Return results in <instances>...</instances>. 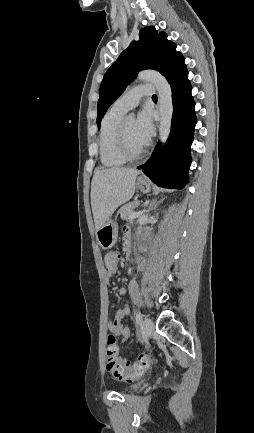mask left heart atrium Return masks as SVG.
<instances>
[{
  "label": "left heart atrium",
  "instance_id": "39dd6f15",
  "mask_svg": "<svg viewBox=\"0 0 254 433\" xmlns=\"http://www.w3.org/2000/svg\"><path fill=\"white\" fill-rule=\"evenodd\" d=\"M154 131L151 114L148 110L139 112L135 121V132L138 138L145 144L149 141Z\"/></svg>",
  "mask_w": 254,
  "mask_h": 433
}]
</instances>
